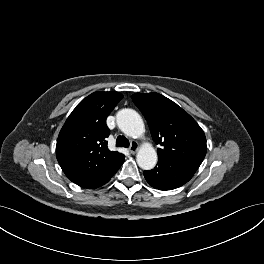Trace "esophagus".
Here are the masks:
<instances>
[{"mask_svg":"<svg viewBox=\"0 0 264 264\" xmlns=\"http://www.w3.org/2000/svg\"><path fill=\"white\" fill-rule=\"evenodd\" d=\"M138 148H139L138 143H137L136 141H132L131 144H130V147H129V151H130L132 154H134V153L137 152Z\"/></svg>","mask_w":264,"mask_h":264,"instance_id":"34e87169","label":"esophagus"}]
</instances>
